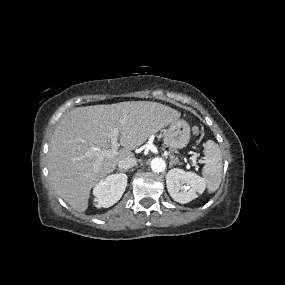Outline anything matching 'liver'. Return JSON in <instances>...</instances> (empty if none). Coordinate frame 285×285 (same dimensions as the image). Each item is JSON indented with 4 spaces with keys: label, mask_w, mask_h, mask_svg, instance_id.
<instances>
[{
    "label": "liver",
    "mask_w": 285,
    "mask_h": 285,
    "mask_svg": "<svg viewBox=\"0 0 285 285\" xmlns=\"http://www.w3.org/2000/svg\"><path fill=\"white\" fill-rule=\"evenodd\" d=\"M180 113L150 101H128L77 107L59 121L48 152L50 183L77 212H85L92 187L112 173L119 161L135 158L133 150L151 135L178 119ZM120 132L114 157L98 162L94 149L110 148L111 131Z\"/></svg>",
    "instance_id": "1"
}]
</instances>
